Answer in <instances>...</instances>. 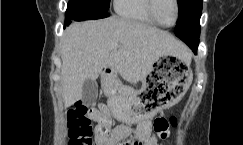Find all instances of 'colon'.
I'll list each match as a JSON object with an SVG mask.
<instances>
[{
  "label": "colon",
  "mask_w": 243,
  "mask_h": 145,
  "mask_svg": "<svg viewBox=\"0 0 243 145\" xmlns=\"http://www.w3.org/2000/svg\"><path fill=\"white\" fill-rule=\"evenodd\" d=\"M94 110L88 108L81 102L75 103L68 111V127H69V145H92L93 136L105 137L110 132V121L104 118L93 125ZM177 126V119L170 117H158L155 119L153 127L154 131L160 135H167L169 127Z\"/></svg>",
  "instance_id": "obj_1"
}]
</instances>
